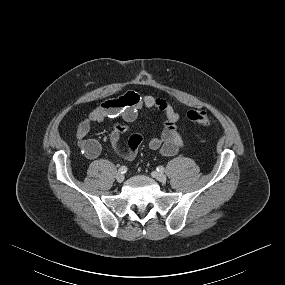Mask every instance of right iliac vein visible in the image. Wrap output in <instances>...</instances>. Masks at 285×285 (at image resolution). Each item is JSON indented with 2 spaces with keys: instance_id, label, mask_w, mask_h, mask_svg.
I'll return each mask as SVG.
<instances>
[{
  "instance_id": "obj_1",
  "label": "right iliac vein",
  "mask_w": 285,
  "mask_h": 285,
  "mask_svg": "<svg viewBox=\"0 0 285 285\" xmlns=\"http://www.w3.org/2000/svg\"><path fill=\"white\" fill-rule=\"evenodd\" d=\"M124 174H122V173H120V172H118L117 174H116V180H117V182H119V183H121V182H123L124 181Z\"/></svg>"
}]
</instances>
